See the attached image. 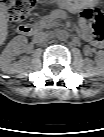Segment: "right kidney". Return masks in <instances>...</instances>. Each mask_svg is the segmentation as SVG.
I'll use <instances>...</instances> for the list:
<instances>
[{
	"instance_id": "ca27d5eb",
	"label": "right kidney",
	"mask_w": 104,
	"mask_h": 137,
	"mask_svg": "<svg viewBox=\"0 0 104 137\" xmlns=\"http://www.w3.org/2000/svg\"><path fill=\"white\" fill-rule=\"evenodd\" d=\"M26 43H27V38L24 36H16L8 43V45L0 55L1 71L7 74H14V73H19L26 68L28 64L27 58L12 63L13 56L19 55L20 49L23 46H25Z\"/></svg>"
}]
</instances>
